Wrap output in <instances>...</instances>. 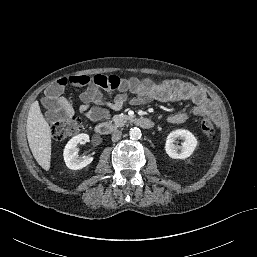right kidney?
Listing matches in <instances>:
<instances>
[{
  "label": "right kidney",
  "mask_w": 257,
  "mask_h": 257,
  "mask_svg": "<svg viewBox=\"0 0 257 257\" xmlns=\"http://www.w3.org/2000/svg\"><path fill=\"white\" fill-rule=\"evenodd\" d=\"M89 142L88 134H78L68 141L64 148L63 157L65 164L72 170H79L89 165L93 161V157L78 155V144Z\"/></svg>",
  "instance_id": "ca27d5eb"
}]
</instances>
